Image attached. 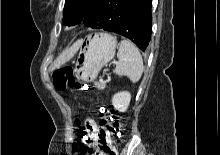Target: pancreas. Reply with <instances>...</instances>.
I'll list each match as a JSON object with an SVG mask.
<instances>
[{
  "label": "pancreas",
  "mask_w": 220,
  "mask_h": 155,
  "mask_svg": "<svg viewBox=\"0 0 220 155\" xmlns=\"http://www.w3.org/2000/svg\"><path fill=\"white\" fill-rule=\"evenodd\" d=\"M96 86H97V88L100 89V90H103V89H104V85H103V84H99V83H98Z\"/></svg>",
  "instance_id": "1"
}]
</instances>
